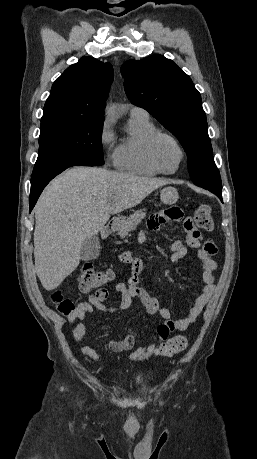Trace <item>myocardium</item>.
Here are the masks:
<instances>
[{"instance_id":"1","label":"myocardium","mask_w":257,"mask_h":459,"mask_svg":"<svg viewBox=\"0 0 257 459\" xmlns=\"http://www.w3.org/2000/svg\"><path fill=\"white\" fill-rule=\"evenodd\" d=\"M161 138H167L169 140H171L175 145L176 147L178 148L179 152H180V160H179V163L177 165V167L172 170V171H167V170H164L160 164L158 163V161L156 160V157H155V146L158 142L159 139ZM146 156H147V159L149 161V163L159 172V173H162V174H166V175H171V174H175L176 172L179 171V169L181 168L182 164L184 163V160H185V157H186V152H185V149L184 147L182 146V144L180 143V141L175 137L173 136L172 134L170 133H167V132H162V131H156L155 133H153L147 143H146Z\"/></svg>"}]
</instances>
